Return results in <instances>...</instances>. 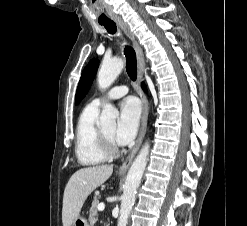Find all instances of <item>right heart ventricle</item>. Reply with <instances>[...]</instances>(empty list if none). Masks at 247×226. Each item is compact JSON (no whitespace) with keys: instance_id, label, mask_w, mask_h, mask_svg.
I'll use <instances>...</instances> for the list:
<instances>
[{"instance_id":"e07e8e85","label":"right heart ventricle","mask_w":247,"mask_h":226,"mask_svg":"<svg viewBox=\"0 0 247 226\" xmlns=\"http://www.w3.org/2000/svg\"><path fill=\"white\" fill-rule=\"evenodd\" d=\"M98 115L99 109L89 104L83 109L77 123L75 153L83 166L97 165L107 159L98 146Z\"/></svg>"}]
</instances>
